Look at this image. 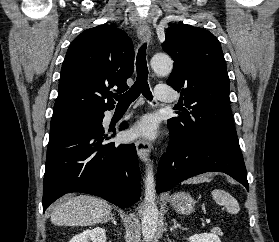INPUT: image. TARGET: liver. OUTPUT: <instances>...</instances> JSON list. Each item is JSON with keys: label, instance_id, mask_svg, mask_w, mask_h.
<instances>
[{"label": "liver", "instance_id": "obj_1", "mask_svg": "<svg viewBox=\"0 0 279 242\" xmlns=\"http://www.w3.org/2000/svg\"><path fill=\"white\" fill-rule=\"evenodd\" d=\"M205 181L203 177L190 182ZM111 206L104 200L89 195H68L54 205L51 222L58 226H86L103 223L111 214Z\"/></svg>", "mask_w": 279, "mask_h": 242}]
</instances>
